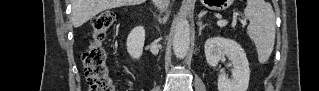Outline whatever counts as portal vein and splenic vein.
Masks as SVG:
<instances>
[{
    "mask_svg": "<svg viewBox=\"0 0 319 91\" xmlns=\"http://www.w3.org/2000/svg\"><path fill=\"white\" fill-rule=\"evenodd\" d=\"M243 22V21H242ZM227 24V22L226 21H218L217 22V25L219 26V27H223V26H225Z\"/></svg>",
    "mask_w": 319,
    "mask_h": 91,
    "instance_id": "obj_1",
    "label": "portal vein and splenic vein"
}]
</instances>
